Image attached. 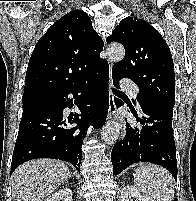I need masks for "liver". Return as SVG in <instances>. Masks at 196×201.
<instances>
[{
    "instance_id": "obj_1",
    "label": "liver",
    "mask_w": 196,
    "mask_h": 201,
    "mask_svg": "<svg viewBox=\"0 0 196 201\" xmlns=\"http://www.w3.org/2000/svg\"><path fill=\"white\" fill-rule=\"evenodd\" d=\"M69 174L68 166L59 160L25 162L12 174L14 201H43L67 180Z\"/></svg>"
}]
</instances>
